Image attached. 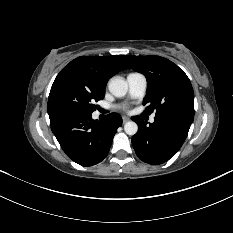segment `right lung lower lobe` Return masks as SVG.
Masks as SVG:
<instances>
[{"label":"right lung lower lobe","instance_id":"right-lung-lower-lobe-1","mask_svg":"<svg viewBox=\"0 0 233 233\" xmlns=\"http://www.w3.org/2000/svg\"><path fill=\"white\" fill-rule=\"evenodd\" d=\"M51 130L63 151L79 165L88 167L101 162L108 154L113 137L122 124L117 113L106 120H93L91 114L58 111L49 113Z\"/></svg>","mask_w":233,"mask_h":233}]
</instances>
